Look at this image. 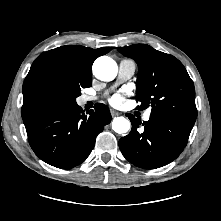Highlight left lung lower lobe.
I'll use <instances>...</instances> for the list:
<instances>
[{
    "instance_id": "1",
    "label": "left lung lower lobe",
    "mask_w": 221,
    "mask_h": 221,
    "mask_svg": "<svg viewBox=\"0 0 221 221\" xmlns=\"http://www.w3.org/2000/svg\"><path fill=\"white\" fill-rule=\"evenodd\" d=\"M126 116L132 123V130L119 140L120 150L130 163L144 169L159 168L175 160L185 148L193 128L191 124L167 116L150 115L143 123L131 114Z\"/></svg>"
}]
</instances>
